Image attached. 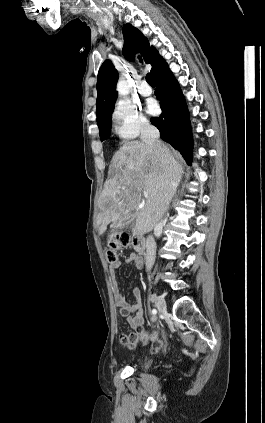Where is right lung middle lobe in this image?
I'll list each match as a JSON object with an SVG mask.
<instances>
[{"instance_id": "dd1d6c3e", "label": "right lung middle lobe", "mask_w": 265, "mask_h": 423, "mask_svg": "<svg viewBox=\"0 0 265 423\" xmlns=\"http://www.w3.org/2000/svg\"><path fill=\"white\" fill-rule=\"evenodd\" d=\"M112 112H110L102 120V122L98 124L101 141H104L105 139H108L110 137Z\"/></svg>"}]
</instances>
